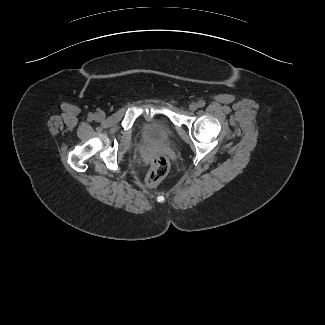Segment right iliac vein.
<instances>
[{
  "instance_id": "obj_1",
  "label": "right iliac vein",
  "mask_w": 325,
  "mask_h": 325,
  "mask_svg": "<svg viewBox=\"0 0 325 325\" xmlns=\"http://www.w3.org/2000/svg\"><path fill=\"white\" fill-rule=\"evenodd\" d=\"M97 118H98V119H103V118H104V115H102V114H98V115H97Z\"/></svg>"
}]
</instances>
